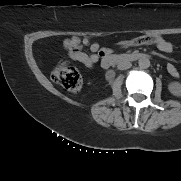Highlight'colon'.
Listing matches in <instances>:
<instances>
[{"label":"colon","instance_id":"obj_1","mask_svg":"<svg viewBox=\"0 0 181 181\" xmlns=\"http://www.w3.org/2000/svg\"><path fill=\"white\" fill-rule=\"evenodd\" d=\"M104 55V53H101ZM52 77L60 82L65 88L76 91L81 87L82 79L78 71L72 67L61 64L53 71Z\"/></svg>","mask_w":181,"mask_h":181}]
</instances>
